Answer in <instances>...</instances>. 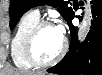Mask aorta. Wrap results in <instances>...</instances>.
Returning a JSON list of instances; mask_svg holds the SVG:
<instances>
[{"label": "aorta", "instance_id": "762f6f07", "mask_svg": "<svg viewBox=\"0 0 102 75\" xmlns=\"http://www.w3.org/2000/svg\"><path fill=\"white\" fill-rule=\"evenodd\" d=\"M88 25V17L85 16L83 19L82 27H81V32L84 30V28ZM83 34L80 33V38H82Z\"/></svg>", "mask_w": 102, "mask_h": 75}]
</instances>
